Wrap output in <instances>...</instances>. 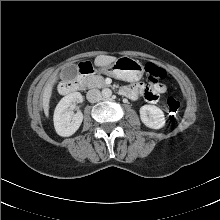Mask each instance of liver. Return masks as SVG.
I'll return each instance as SVG.
<instances>
[{
  "mask_svg": "<svg viewBox=\"0 0 220 220\" xmlns=\"http://www.w3.org/2000/svg\"><path fill=\"white\" fill-rule=\"evenodd\" d=\"M117 60L114 56H108V55H99L95 58L94 64L96 67H104L107 65H110L111 63L115 62ZM62 77V73L59 75L55 74L49 82L45 85L42 95V106L45 113V116H49V102L52 95V90L54 87V84L57 82L58 78Z\"/></svg>",
  "mask_w": 220,
  "mask_h": 220,
  "instance_id": "liver-1",
  "label": "liver"
}]
</instances>
